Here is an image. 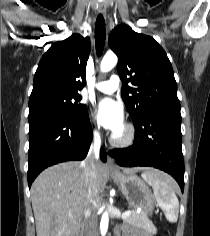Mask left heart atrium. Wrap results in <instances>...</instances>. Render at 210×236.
I'll use <instances>...</instances> for the list:
<instances>
[{
  "instance_id": "left-heart-atrium-1",
  "label": "left heart atrium",
  "mask_w": 210,
  "mask_h": 236,
  "mask_svg": "<svg viewBox=\"0 0 210 236\" xmlns=\"http://www.w3.org/2000/svg\"><path fill=\"white\" fill-rule=\"evenodd\" d=\"M95 114L100 123L113 134L124 127L123 109L111 99L101 100L95 107Z\"/></svg>"
}]
</instances>
